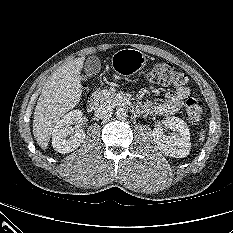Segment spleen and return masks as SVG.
Segmentation results:
<instances>
[{"instance_id": "spleen-1", "label": "spleen", "mask_w": 233, "mask_h": 233, "mask_svg": "<svg viewBox=\"0 0 233 233\" xmlns=\"http://www.w3.org/2000/svg\"><path fill=\"white\" fill-rule=\"evenodd\" d=\"M205 140V131L201 130L199 132V141L203 142Z\"/></svg>"}]
</instances>
